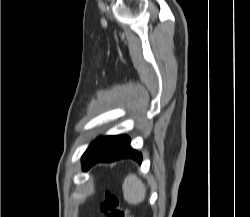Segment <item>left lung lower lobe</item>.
<instances>
[{
	"mask_svg": "<svg viewBox=\"0 0 250 217\" xmlns=\"http://www.w3.org/2000/svg\"><path fill=\"white\" fill-rule=\"evenodd\" d=\"M123 158H131L141 163L142 154L130 146V139L127 136L99 137L83 154L82 168L87 170L97 162H110Z\"/></svg>",
	"mask_w": 250,
	"mask_h": 217,
	"instance_id": "left-lung-lower-lobe-1",
	"label": "left lung lower lobe"
}]
</instances>
